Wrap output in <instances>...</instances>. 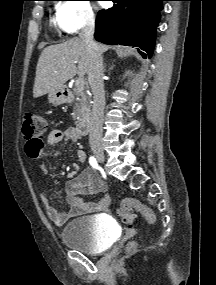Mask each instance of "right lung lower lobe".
<instances>
[{"label": "right lung lower lobe", "instance_id": "98d812e1", "mask_svg": "<svg viewBox=\"0 0 216 285\" xmlns=\"http://www.w3.org/2000/svg\"><path fill=\"white\" fill-rule=\"evenodd\" d=\"M112 8L101 10L96 18L95 38L105 44L140 47L150 58L155 44L162 1L112 0ZM140 52V51H139ZM143 57L146 55L140 52Z\"/></svg>", "mask_w": 216, "mask_h": 285}]
</instances>
